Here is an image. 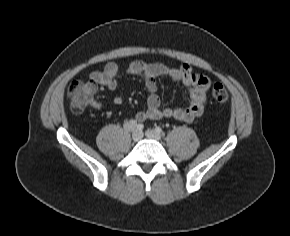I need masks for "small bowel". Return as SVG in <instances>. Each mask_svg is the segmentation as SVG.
<instances>
[{
    "label": "small bowel",
    "instance_id": "c3829d8e",
    "mask_svg": "<svg viewBox=\"0 0 290 236\" xmlns=\"http://www.w3.org/2000/svg\"><path fill=\"white\" fill-rule=\"evenodd\" d=\"M127 72L140 77L148 91L147 107L136 113V121L144 122L149 119L170 118L180 122H192L202 115L207 102L210 81L206 76L194 72L190 66L170 67L162 63L136 60L128 65ZM119 73L118 64L110 62L103 69L92 71L89 74V79L93 83L105 86L110 91L115 92L118 88L117 77ZM159 77H167L185 86L190 95L188 105L183 108H162L156 85V80ZM112 102L115 105H121L123 98L119 94H114ZM91 105L95 109L103 107V104L98 100H93Z\"/></svg>",
    "mask_w": 290,
    "mask_h": 236
}]
</instances>
